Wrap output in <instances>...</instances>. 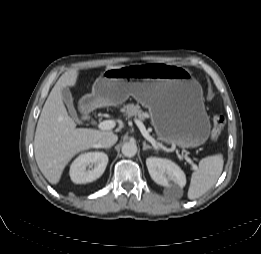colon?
Listing matches in <instances>:
<instances>
[{"mask_svg":"<svg viewBox=\"0 0 261 254\" xmlns=\"http://www.w3.org/2000/svg\"><path fill=\"white\" fill-rule=\"evenodd\" d=\"M226 123V119L223 115L218 114L214 116L213 119V129L211 132V141L215 142L218 140V138L220 137L223 128L225 126Z\"/></svg>","mask_w":261,"mask_h":254,"instance_id":"5ec220e1","label":"colon"}]
</instances>
